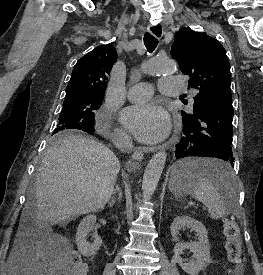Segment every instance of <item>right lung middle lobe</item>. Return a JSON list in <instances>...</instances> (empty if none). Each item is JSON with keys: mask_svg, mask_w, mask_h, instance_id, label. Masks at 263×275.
Returning a JSON list of instances; mask_svg holds the SVG:
<instances>
[{"mask_svg": "<svg viewBox=\"0 0 263 275\" xmlns=\"http://www.w3.org/2000/svg\"><path fill=\"white\" fill-rule=\"evenodd\" d=\"M103 96L79 95L65 98L59 122L52 135L59 140L64 132L71 129L94 132V111L98 110Z\"/></svg>", "mask_w": 263, "mask_h": 275, "instance_id": "right-lung-middle-lobe-1", "label": "right lung middle lobe"}]
</instances>
